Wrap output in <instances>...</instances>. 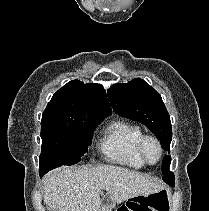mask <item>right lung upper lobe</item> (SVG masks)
I'll return each mask as SVG.
<instances>
[{"label": "right lung upper lobe", "instance_id": "right-lung-upper-lobe-1", "mask_svg": "<svg viewBox=\"0 0 209 211\" xmlns=\"http://www.w3.org/2000/svg\"><path fill=\"white\" fill-rule=\"evenodd\" d=\"M110 114L106 91L100 84L72 80L53 95L42 115V123L105 118Z\"/></svg>", "mask_w": 209, "mask_h": 211}]
</instances>
